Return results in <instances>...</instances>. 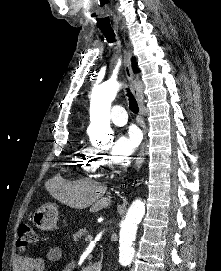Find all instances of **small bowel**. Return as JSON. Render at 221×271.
Wrapping results in <instances>:
<instances>
[{"label":"small bowel","instance_id":"1","mask_svg":"<svg viewBox=\"0 0 221 271\" xmlns=\"http://www.w3.org/2000/svg\"><path fill=\"white\" fill-rule=\"evenodd\" d=\"M62 256V250L59 247L50 248L45 259L38 256L18 255L13 260V271H47V262H57ZM72 265H66L63 271H72Z\"/></svg>","mask_w":221,"mask_h":271}]
</instances>
